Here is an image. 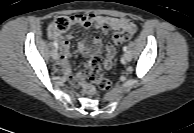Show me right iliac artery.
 <instances>
[{
    "instance_id": "right-iliac-artery-1",
    "label": "right iliac artery",
    "mask_w": 194,
    "mask_h": 133,
    "mask_svg": "<svg viewBox=\"0 0 194 133\" xmlns=\"http://www.w3.org/2000/svg\"><path fill=\"white\" fill-rule=\"evenodd\" d=\"M54 47L56 48V50L58 49V43L56 41L53 42Z\"/></svg>"
}]
</instances>
